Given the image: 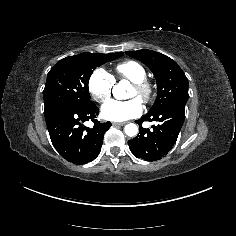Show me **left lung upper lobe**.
Segmentation results:
<instances>
[{
    "instance_id": "obj_1",
    "label": "left lung upper lobe",
    "mask_w": 236,
    "mask_h": 236,
    "mask_svg": "<svg viewBox=\"0 0 236 236\" xmlns=\"http://www.w3.org/2000/svg\"><path fill=\"white\" fill-rule=\"evenodd\" d=\"M127 55L142 61L154 74L158 94L148 113L158 111L174 101L187 102L188 79L182 69L168 56L152 50L127 51Z\"/></svg>"
}]
</instances>
